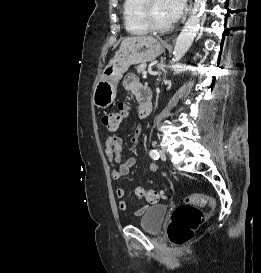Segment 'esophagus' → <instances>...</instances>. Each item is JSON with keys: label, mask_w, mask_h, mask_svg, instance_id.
<instances>
[{"label": "esophagus", "mask_w": 261, "mask_h": 273, "mask_svg": "<svg viewBox=\"0 0 261 273\" xmlns=\"http://www.w3.org/2000/svg\"><path fill=\"white\" fill-rule=\"evenodd\" d=\"M192 4H193V1L190 0V10H191V8H192Z\"/></svg>", "instance_id": "esophagus-1"}]
</instances>
